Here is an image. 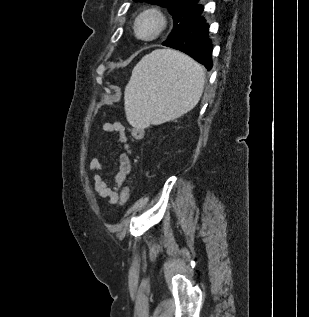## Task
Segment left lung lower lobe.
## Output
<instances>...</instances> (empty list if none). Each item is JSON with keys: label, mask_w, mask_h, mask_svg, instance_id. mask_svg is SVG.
Masks as SVG:
<instances>
[{"label": "left lung lower lobe", "mask_w": 309, "mask_h": 317, "mask_svg": "<svg viewBox=\"0 0 309 317\" xmlns=\"http://www.w3.org/2000/svg\"><path fill=\"white\" fill-rule=\"evenodd\" d=\"M202 13L203 8L200 7L192 15L185 28L168 38L162 45L188 54L210 70L213 66V45L209 37V24Z\"/></svg>", "instance_id": "obj_1"}]
</instances>
